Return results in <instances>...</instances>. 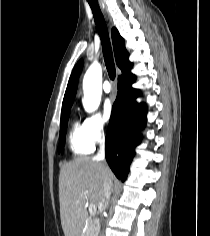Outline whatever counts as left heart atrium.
<instances>
[{
  "label": "left heart atrium",
  "mask_w": 210,
  "mask_h": 236,
  "mask_svg": "<svg viewBox=\"0 0 210 236\" xmlns=\"http://www.w3.org/2000/svg\"><path fill=\"white\" fill-rule=\"evenodd\" d=\"M102 113H103V118L105 121H109L111 119L112 113H113V104L111 100L107 99L104 102Z\"/></svg>",
  "instance_id": "obj_1"
}]
</instances>
